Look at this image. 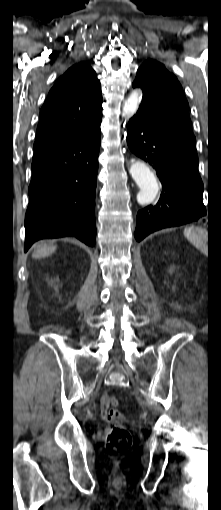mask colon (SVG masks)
I'll list each match as a JSON object with an SVG mask.
<instances>
[{
    "label": "colon",
    "mask_w": 221,
    "mask_h": 510,
    "mask_svg": "<svg viewBox=\"0 0 221 510\" xmlns=\"http://www.w3.org/2000/svg\"><path fill=\"white\" fill-rule=\"evenodd\" d=\"M119 401L111 397L110 406L112 407L107 415V420L112 424L106 430L105 448L110 454L118 455L126 452L132 444V437L125 426L118 423L122 415L115 410Z\"/></svg>",
    "instance_id": "colon-1"
}]
</instances>
